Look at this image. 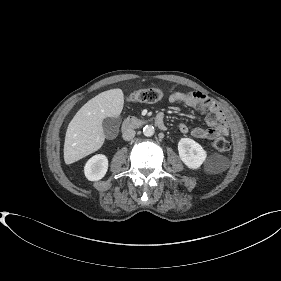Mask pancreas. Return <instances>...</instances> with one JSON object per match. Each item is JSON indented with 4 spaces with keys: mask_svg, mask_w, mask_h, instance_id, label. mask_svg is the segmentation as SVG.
Wrapping results in <instances>:
<instances>
[{
    "mask_svg": "<svg viewBox=\"0 0 281 281\" xmlns=\"http://www.w3.org/2000/svg\"><path fill=\"white\" fill-rule=\"evenodd\" d=\"M138 120H137V118H135V117H128V118H126L125 120H124V124L125 125H131V124H134V123H136Z\"/></svg>",
    "mask_w": 281,
    "mask_h": 281,
    "instance_id": "obj_1",
    "label": "pancreas"
}]
</instances>
